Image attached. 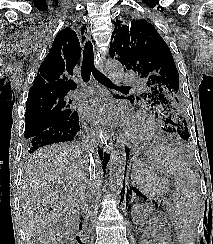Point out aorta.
<instances>
[{
    "mask_svg": "<svg viewBox=\"0 0 213 244\" xmlns=\"http://www.w3.org/2000/svg\"><path fill=\"white\" fill-rule=\"evenodd\" d=\"M106 70L114 78L119 79L124 72L122 64L115 60L109 59L106 62ZM126 166V152H125V142L120 137L117 138L115 148L112 152L111 163H110V173H109V187L110 191L116 196H120Z\"/></svg>",
    "mask_w": 213,
    "mask_h": 244,
    "instance_id": "762f6f07",
    "label": "aorta"
}]
</instances>
